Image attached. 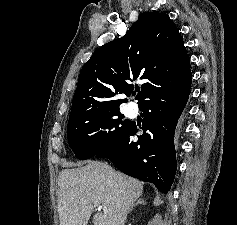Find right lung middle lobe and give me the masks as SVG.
Returning <instances> with one entry per match:
<instances>
[{
	"label": "right lung middle lobe",
	"instance_id": "right-lung-middle-lobe-1",
	"mask_svg": "<svg viewBox=\"0 0 237 225\" xmlns=\"http://www.w3.org/2000/svg\"><path fill=\"white\" fill-rule=\"evenodd\" d=\"M119 109L80 122H68L67 138L76 158L89 159L110 148L129 126Z\"/></svg>",
	"mask_w": 237,
	"mask_h": 225
}]
</instances>
